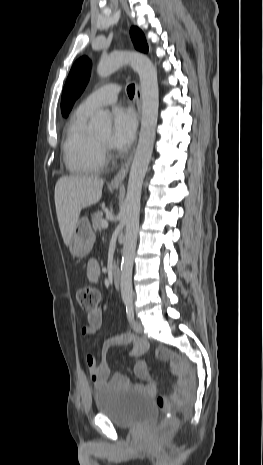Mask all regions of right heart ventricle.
Masks as SVG:
<instances>
[{"label":"right heart ventricle","mask_w":263,"mask_h":465,"mask_svg":"<svg viewBox=\"0 0 263 465\" xmlns=\"http://www.w3.org/2000/svg\"><path fill=\"white\" fill-rule=\"evenodd\" d=\"M90 115L77 109L66 127L63 157L67 169L73 174L99 173L106 164L102 148L87 128Z\"/></svg>","instance_id":"obj_1"}]
</instances>
